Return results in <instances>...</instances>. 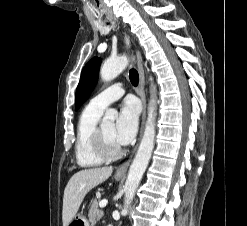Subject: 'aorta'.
<instances>
[{"label": "aorta", "mask_w": 247, "mask_h": 226, "mask_svg": "<svg viewBox=\"0 0 247 226\" xmlns=\"http://www.w3.org/2000/svg\"><path fill=\"white\" fill-rule=\"evenodd\" d=\"M128 65L126 57H118L115 59H108L104 62L100 70V76L103 81L108 82L116 78ZM151 100L148 106V117L144 130L142 140L140 142L138 151L130 166L128 176L125 182V197L124 207L122 213L127 214L128 208L133 201L136 189L142 179V176L148 166L155 140V118H156V101L155 90H153ZM117 116L115 110L106 111L103 122L105 124H112Z\"/></svg>", "instance_id": "obj_1"}]
</instances>
